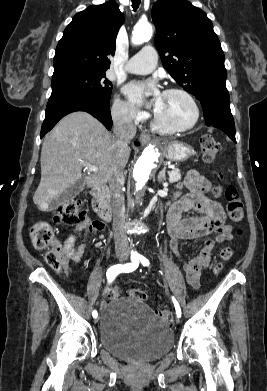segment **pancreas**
Returning <instances> with one entry per match:
<instances>
[{
  "label": "pancreas",
  "mask_w": 267,
  "mask_h": 391,
  "mask_svg": "<svg viewBox=\"0 0 267 391\" xmlns=\"http://www.w3.org/2000/svg\"><path fill=\"white\" fill-rule=\"evenodd\" d=\"M169 182L175 183L181 179L180 170L176 167H173L170 172H168Z\"/></svg>",
  "instance_id": "obj_1"
}]
</instances>
